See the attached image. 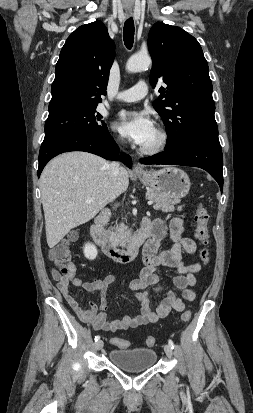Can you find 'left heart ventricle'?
Returning <instances> with one entry per match:
<instances>
[{
    "mask_svg": "<svg viewBox=\"0 0 253 413\" xmlns=\"http://www.w3.org/2000/svg\"><path fill=\"white\" fill-rule=\"evenodd\" d=\"M158 140V134L156 129H154L153 133L148 137V139L144 142L142 146H152L154 145Z\"/></svg>",
    "mask_w": 253,
    "mask_h": 413,
    "instance_id": "b2bd125f",
    "label": "left heart ventricle"
}]
</instances>
